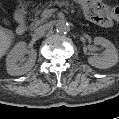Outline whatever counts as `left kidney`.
Masks as SVG:
<instances>
[{"instance_id":"obj_1","label":"left kidney","mask_w":119,"mask_h":119,"mask_svg":"<svg viewBox=\"0 0 119 119\" xmlns=\"http://www.w3.org/2000/svg\"><path fill=\"white\" fill-rule=\"evenodd\" d=\"M95 45H101L105 48L101 56L94 55L88 58V63L91 66L100 69H107L117 64L118 52L116 47L107 39L103 37L94 38Z\"/></svg>"}]
</instances>
